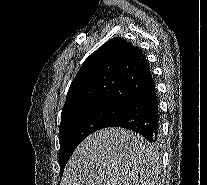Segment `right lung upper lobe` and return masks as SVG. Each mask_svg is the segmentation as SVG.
Segmentation results:
<instances>
[{"label":"right lung upper lobe","mask_w":207,"mask_h":185,"mask_svg":"<svg viewBox=\"0 0 207 185\" xmlns=\"http://www.w3.org/2000/svg\"><path fill=\"white\" fill-rule=\"evenodd\" d=\"M153 83L142 52L120 37L113 38L82 64L68 90L61 120L99 105L122 108Z\"/></svg>","instance_id":"cb5924a9"}]
</instances>
